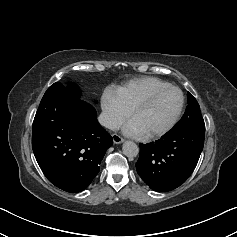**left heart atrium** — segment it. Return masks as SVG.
<instances>
[{"mask_svg":"<svg viewBox=\"0 0 237 237\" xmlns=\"http://www.w3.org/2000/svg\"><path fill=\"white\" fill-rule=\"evenodd\" d=\"M124 131L130 136H140L143 134L139 127L132 120L125 125Z\"/></svg>","mask_w":237,"mask_h":237,"instance_id":"left-heart-atrium-1","label":"left heart atrium"}]
</instances>
